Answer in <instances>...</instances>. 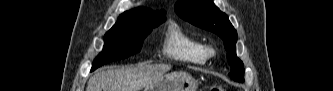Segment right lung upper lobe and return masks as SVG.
<instances>
[{
	"instance_id": "1",
	"label": "right lung upper lobe",
	"mask_w": 333,
	"mask_h": 91,
	"mask_svg": "<svg viewBox=\"0 0 333 91\" xmlns=\"http://www.w3.org/2000/svg\"><path fill=\"white\" fill-rule=\"evenodd\" d=\"M165 11L156 12L144 7L134 8L122 13L115 25H121L132 21H146L152 19L165 18Z\"/></svg>"
}]
</instances>
